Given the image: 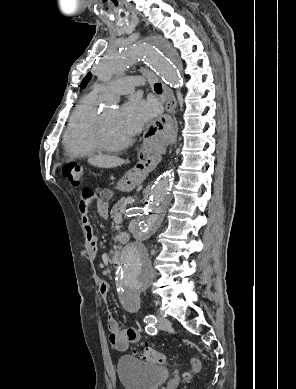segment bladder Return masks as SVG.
I'll use <instances>...</instances> for the list:
<instances>
[{
  "instance_id": "1",
  "label": "bladder",
  "mask_w": 296,
  "mask_h": 389,
  "mask_svg": "<svg viewBox=\"0 0 296 389\" xmlns=\"http://www.w3.org/2000/svg\"><path fill=\"white\" fill-rule=\"evenodd\" d=\"M117 374L124 389H158L169 377L167 368L143 362L131 355L118 359Z\"/></svg>"
}]
</instances>
